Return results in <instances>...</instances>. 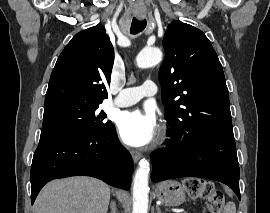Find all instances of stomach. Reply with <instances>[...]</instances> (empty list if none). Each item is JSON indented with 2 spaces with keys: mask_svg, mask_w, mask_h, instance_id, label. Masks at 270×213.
I'll list each match as a JSON object with an SVG mask.
<instances>
[{
  "mask_svg": "<svg viewBox=\"0 0 270 213\" xmlns=\"http://www.w3.org/2000/svg\"><path fill=\"white\" fill-rule=\"evenodd\" d=\"M156 197L166 205L178 206L185 201V192L178 181L168 180L157 186Z\"/></svg>",
  "mask_w": 270,
  "mask_h": 213,
  "instance_id": "1",
  "label": "stomach"
}]
</instances>
